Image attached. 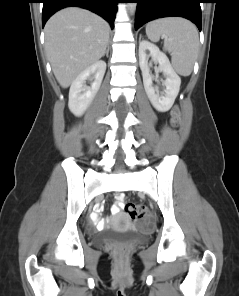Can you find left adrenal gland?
Returning a JSON list of instances; mask_svg holds the SVG:
<instances>
[{
	"instance_id": "1",
	"label": "left adrenal gland",
	"mask_w": 239,
	"mask_h": 296,
	"mask_svg": "<svg viewBox=\"0 0 239 296\" xmlns=\"http://www.w3.org/2000/svg\"><path fill=\"white\" fill-rule=\"evenodd\" d=\"M141 37H142V35L140 34V36H139V42H140V40H141Z\"/></svg>"
}]
</instances>
